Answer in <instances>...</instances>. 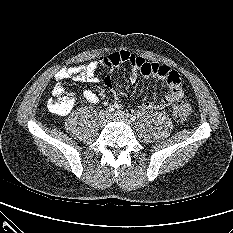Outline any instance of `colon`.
<instances>
[{"label":"colon","mask_w":233,"mask_h":233,"mask_svg":"<svg viewBox=\"0 0 233 233\" xmlns=\"http://www.w3.org/2000/svg\"><path fill=\"white\" fill-rule=\"evenodd\" d=\"M74 95L72 92H67L63 88H58L53 91V97L48 99V109L58 115L69 113L74 106ZM192 114V106L186 101H179L173 108L174 117L183 121Z\"/></svg>","instance_id":"1"}]
</instances>
